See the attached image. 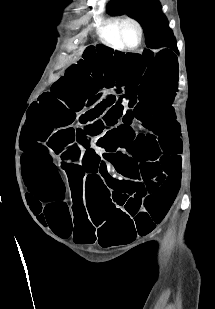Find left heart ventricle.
<instances>
[{
  "label": "left heart ventricle",
  "instance_id": "1",
  "mask_svg": "<svg viewBox=\"0 0 215 309\" xmlns=\"http://www.w3.org/2000/svg\"><path fill=\"white\" fill-rule=\"evenodd\" d=\"M123 38H122V42L127 44V45H132L135 43L136 41V35L133 29L131 28H126L123 32H122Z\"/></svg>",
  "mask_w": 215,
  "mask_h": 309
}]
</instances>
